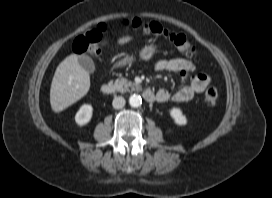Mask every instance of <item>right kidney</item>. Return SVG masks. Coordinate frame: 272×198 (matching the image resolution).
I'll return each instance as SVG.
<instances>
[{"mask_svg":"<svg viewBox=\"0 0 272 198\" xmlns=\"http://www.w3.org/2000/svg\"><path fill=\"white\" fill-rule=\"evenodd\" d=\"M93 114V107L90 104H84L75 115V121L79 126H84L90 122Z\"/></svg>","mask_w":272,"mask_h":198,"instance_id":"right-kidney-1","label":"right kidney"}]
</instances>
